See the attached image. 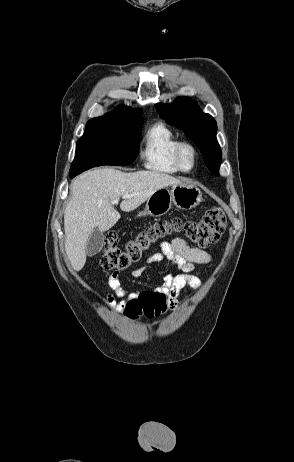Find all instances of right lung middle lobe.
<instances>
[{
    "label": "right lung middle lobe",
    "mask_w": 294,
    "mask_h": 462,
    "mask_svg": "<svg viewBox=\"0 0 294 462\" xmlns=\"http://www.w3.org/2000/svg\"><path fill=\"white\" fill-rule=\"evenodd\" d=\"M143 119L102 116L86 124L84 135L77 141L70 176L100 165H128L139 150ZM111 162L103 164V162Z\"/></svg>",
    "instance_id": "right-lung-middle-lobe-1"
}]
</instances>
